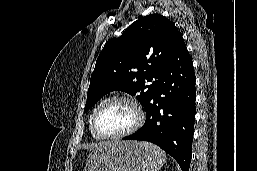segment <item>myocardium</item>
<instances>
[{"instance_id": "myocardium-1", "label": "myocardium", "mask_w": 257, "mask_h": 171, "mask_svg": "<svg viewBox=\"0 0 257 171\" xmlns=\"http://www.w3.org/2000/svg\"><path fill=\"white\" fill-rule=\"evenodd\" d=\"M116 103H126V104L130 105L136 113V121L131 128H129L128 130H126L122 133L115 134V135L103 134L98 130V127H97L98 116L106 107H108L112 104H116ZM144 120H145V115H144V112H143L142 108L140 107V105L131 97L120 96V97H114V98L108 99V100L102 102L97 107V109L95 110L93 117H92L91 128H92L93 133L101 139L117 140V139H122V138H125L127 136L134 134L136 131H138L141 128V126L144 123Z\"/></svg>"}]
</instances>
